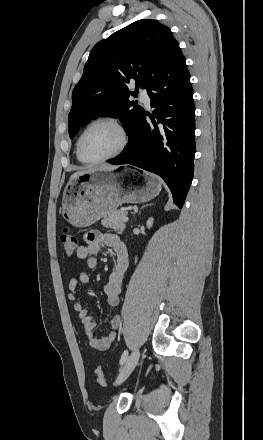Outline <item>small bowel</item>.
<instances>
[{"label":"small bowel","mask_w":263,"mask_h":440,"mask_svg":"<svg viewBox=\"0 0 263 440\" xmlns=\"http://www.w3.org/2000/svg\"><path fill=\"white\" fill-rule=\"evenodd\" d=\"M84 241V244L77 247L76 255L89 269H94L97 266L95 255L99 253L102 246L113 249L116 257L115 263L108 281L104 286V292L108 305L111 307H117L120 302V294L122 292L124 279L129 266L126 245L118 235L113 233H102L96 230L87 232L84 236ZM90 280L91 276L88 272H82L77 277L72 278L68 285V298L73 303L74 310L81 322L89 346L94 350L103 351L115 341V330L120 326L121 318L119 315H115L111 320L112 331L104 337L96 336L95 329L97 321L83 306L78 295L79 284H87Z\"/></svg>","instance_id":"small-bowel-1"}]
</instances>
